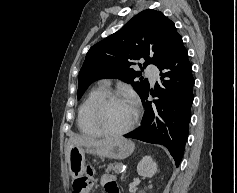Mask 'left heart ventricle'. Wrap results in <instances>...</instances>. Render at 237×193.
I'll return each instance as SVG.
<instances>
[{"instance_id":"b2bd125f","label":"left heart ventricle","mask_w":237,"mask_h":193,"mask_svg":"<svg viewBox=\"0 0 237 193\" xmlns=\"http://www.w3.org/2000/svg\"><path fill=\"white\" fill-rule=\"evenodd\" d=\"M134 117V106L126 100H110L100 111L101 124L113 131L127 127Z\"/></svg>"}]
</instances>
